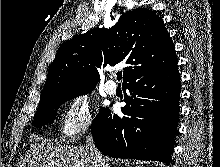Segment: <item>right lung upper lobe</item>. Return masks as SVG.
Wrapping results in <instances>:
<instances>
[{
    "label": "right lung upper lobe",
    "instance_id": "1",
    "mask_svg": "<svg viewBox=\"0 0 220 167\" xmlns=\"http://www.w3.org/2000/svg\"><path fill=\"white\" fill-rule=\"evenodd\" d=\"M177 61L163 20L150 9L124 13L113 27L91 29L64 42L49 67L40 101L66 89L95 86L98 69L123 62V82Z\"/></svg>",
    "mask_w": 220,
    "mask_h": 167
}]
</instances>
